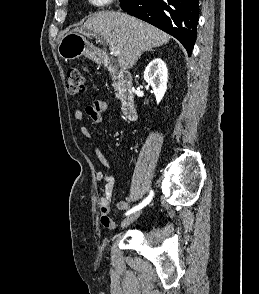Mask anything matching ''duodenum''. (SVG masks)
<instances>
[{
    "label": "duodenum",
    "instance_id": "obj_1",
    "mask_svg": "<svg viewBox=\"0 0 259 294\" xmlns=\"http://www.w3.org/2000/svg\"><path fill=\"white\" fill-rule=\"evenodd\" d=\"M102 62L104 65L110 66V62L104 57H102ZM115 80L122 112L128 120L135 121L137 119V112L131 73L128 71H116Z\"/></svg>",
    "mask_w": 259,
    "mask_h": 294
}]
</instances>
